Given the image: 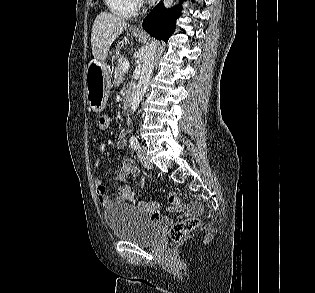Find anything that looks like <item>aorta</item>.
Instances as JSON below:
<instances>
[{
  "mask_svg": "<svg viewBox=\"0 0 315 293\" xmlns=\"http://www.w3.org/2000/svg\"><path fill=\"white\" fill-rule=\"evenodd\" d=\"M173 2L174 0H164V5L166 8H169L173 4ZM156 50H157L156 40H152V42L149 43L147 51L143 57L140 78L136 87V92L132 100L131 106L132 113H134L137 110L144 94L146 93L151 78V74L154 68Z\"/></svg>",
  "mask_w": 315,
  "mask_h": 293,
  "instance_id": "obj_1",
  "label": "aorta"
}]
</instances>
